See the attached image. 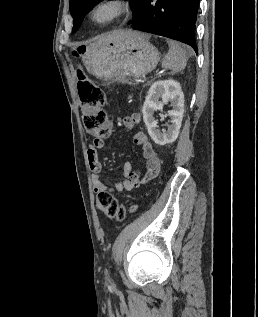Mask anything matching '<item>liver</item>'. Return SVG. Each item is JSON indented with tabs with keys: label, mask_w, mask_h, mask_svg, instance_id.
Listing matches in <instances>:
<instances>
[{
	"label": "liver",
	"mask_w": 258,
	"mask_h": 317,
	"mask_svg": "<svg viewBox=\"0 0 258 317\" xmlns=\"http://www.w3.org/2000/svg\"><path fill=\"white\" fill-rule=\"evenodd\" d=\"M128 36V30H113L112 34H102L95 42H90V46L96 42H108V40H125Z\"/></svg>",
	"instance_id": "obj_1"
}]
</instances>
